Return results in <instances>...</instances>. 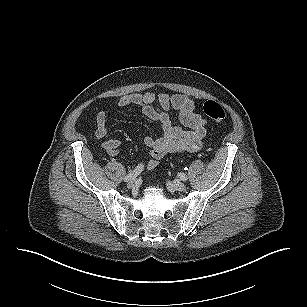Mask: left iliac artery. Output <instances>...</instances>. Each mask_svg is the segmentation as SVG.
Here are the masks:
<instances>
[{"mask_svg": "<svg viewBox=\"0 0 307 307\" xmlns=\"http://www.w3.org/2000/svg\"><path fill=\"white\" fill-rule=\"evenodd\" d=\"M178 177L183 181L187 180V176L184 173H178Z\"/></svg>", "mask_w": 307, "mask_h": 307, "instance_id": "obj_1", "label": "left iliac artery"}]
</instances>
